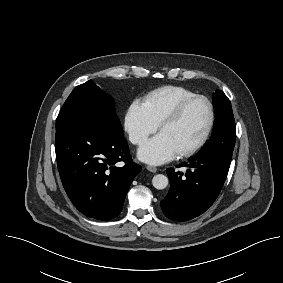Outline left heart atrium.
<instances>
[{
  "label": "left heart atrium",
  "instance_id": "1",
  "mask_svg": "<svg viewBox=\"0 0 283 283\" xmlns=\"http://www.w3.org/2000/svg\"><path fill=\"white\" fill-rule=\"evenodd\" d=\"M178 151L169 139L162 133H158L142 144L138 150V157L145 163L161 165L173 160Z\"/></svg>",
  "mask_w": 283,
  "mask_h": 283
}]
</instances>
